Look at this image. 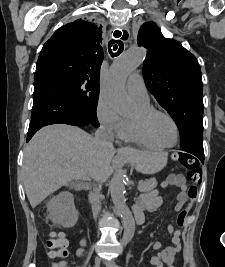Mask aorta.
Masks as SVG:
<instances>
[{"instance_id":"762f6f07","label":"aorta","mask_w":225,"mask_h":267,"mask_svg":"<svg viewBox=\"0 0 225 267\" xmlns=\"http://www.w3.org/2000/svg\"><path fill=\"white\" fill-rule=\"evenodd\" d=\"M145 56L146 50L143 47L130 48L116 58L111 65L103 95L107 102L120 113L131 107V101L125 89L127 77L143 63ZM110 193L115 209L124 224L122 242L127 243L134 235L135 226L125 201V173L123 171L114 174L110 184Z\"/></svg>"}]
</instances>
